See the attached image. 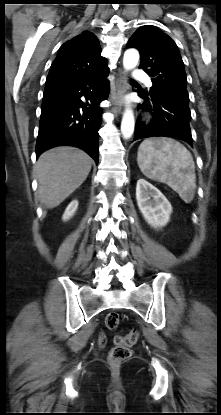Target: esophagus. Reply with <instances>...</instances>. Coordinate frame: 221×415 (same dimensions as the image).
<instances>
[{
	"label": "esophagus",
	"instance_id": "1",
	"mask_svg": "<svg viewBox=\"0 0 221 415\" xmlns=\"http://www.w3.org/2000/svg\"><path fill=\"white\" fill-rule=\"evenodd\" d=\"M125 81H126V73L125 71L120 70L118 73L117 80H116L115 91L112 94V100L114 102L115 112H121L122 110L124 94H125Z\"/></svg>",
	"mask_w": 221,
	"mask_h": 415
}]
</instances>
